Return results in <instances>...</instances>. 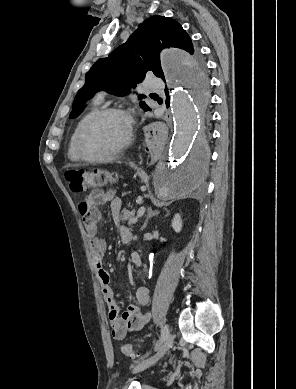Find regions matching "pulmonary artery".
I'll list each match as a JSON object with an SVG mask.
<instances>
[{"label":"pulmonary artery","mask_w":296,"mask_h":389,"mask_svg":"<svg viewBox=\"0 0 296 389\" xmlns=\"http://www.w3.org/2000/svg\"><path fill=\"white\" fill-rule=\"evenodd\" d=\"M148 89H150L151 91H161L162 88H163V84L160 80H157V79H150L147 81L146 83ZM104 94L103 93H99L98 97L99 98H103Z\"/></svg>","instance_id":"pulmonary-artery-1"}]
</instances>
